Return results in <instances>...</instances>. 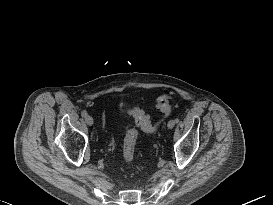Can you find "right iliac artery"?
Listing matches in <instances>:
<instances>
[{
	"instance_id": "82829eb1",
	"label": "right iliac artery",
	"mask_w": 273,
	"mask_h": 205,
	"mask_svg": "<svg viewBox=\"0 0 273 205\" xmlns=\"http://www.w3.org/2000/svg\"><path fill=\"white\" fill-rule=\"evenodd\" d=\"M81 115H82V117H86V116H87V112H86L85 110H83V111L81 112Z\"/></svg>"
}]
</instances>
